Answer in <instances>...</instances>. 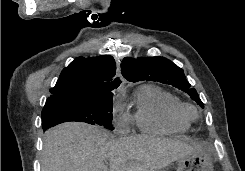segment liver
I'll use <instances>...</instances> for the list:
<instances>
[{
	"mask_svg": "<svg viewBox=\"0 0 245 171\" xmlns=\"http://www.w3.org/2000/svg\"><path fill=\"white\" fill-rule=\"evenodd\" d=\"M107 138L100 128L80 122L50 129L45 136L41 171H158L200 148L148 135Z\"/></svg>",
	"mask_w": 245,
	"mask_h": 171,
	"instance_id": "1",
	"label": "liver"
}]
</instances>
